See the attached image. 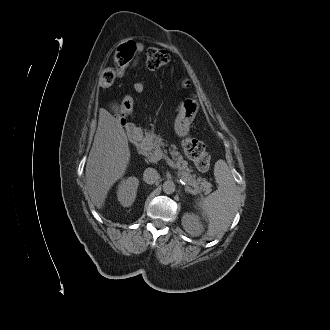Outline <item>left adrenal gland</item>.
Wrapping results in <instances>:
<instances>
[{
	"mask_svg": "<svg viewBox=\"0 0 330 330\" xmlns=\"http://www.w3.org/2000/svg\"><path fill=\"white\" fill-rule=\"evenodd\" d=\"M186 193H192L189 189L185 188Z\"/></svg>",
	"mask_w": 330,
	"mask_h": 330,
	"instance_id": "left-adrenal-gland-1",
	"label": "left adrenal gland"
}]
</instances>
